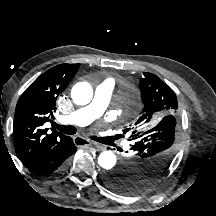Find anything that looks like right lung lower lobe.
I'll list each match as a JSON object with an SVG mask.
<instances>
[{
	"label": "right lung lower lobe",
	"mask_w": 216,
	"mask_h": 216,
	"mask_svg": "<svg viewBox=\"0 0 216 216\" xmlns=\"http://www.w3.org/2000/svg\"><path fill=\"white\" fill-rule=\"evenodd\" d=\"M77 147L74 145L73 140H67L57 144L42 156L34 164L27 167V169L40 176H49L61 170L69 156L75 153Z\"/></svg>",
	"instance_id": "1"
}]
</instances>
